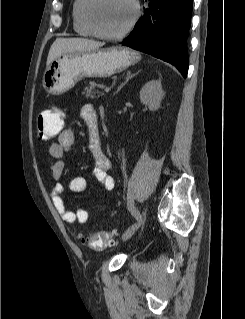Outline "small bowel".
Returning a JSON list of instances; mask_svg holds the SVG:
<instances>
[{"label": "small bowel", "instance_id": "small-bowel-1", "mask_svg": "<svg viewBox=\"0 0 245 319\" xmlns=\"http://www.w3.org/2000/svg\"><path fill=\"white\" fill-rule=\"evenodd\" d=\"M81 117L94 137L92 145V154L95 160L93 174L106 191H112L115 188V179L108 172L113 168V163L111 159L104 154L99 142L98 112L93 105L87 104L81 110ZM74 142V132L71 129H64L60 133L58 140L49 146V154L53 158L51 172L54 179L58 180L63 176L64 156L72 148ZM85 188L86 179L81 176L72 178L67 186V189L72 193H81ZM64 191L65 186L61 183H57L53 186L51 199L55 209L66 223L84 225L89 218V212L81 207H78L75 211L70 210L65 205L62 196ZM105 207V205L97 207L94 209V212L100 213Z\"/></svg>", "mask_w": 245, "mask_h": 319}]
</instances>
